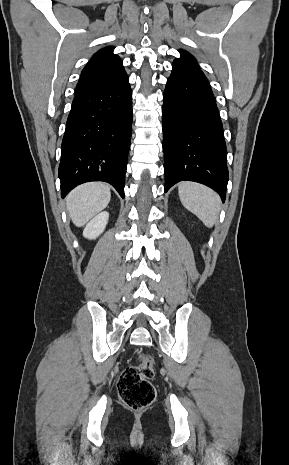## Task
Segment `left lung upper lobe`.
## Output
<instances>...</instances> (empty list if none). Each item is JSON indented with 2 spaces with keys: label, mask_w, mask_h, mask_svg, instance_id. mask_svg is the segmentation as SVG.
I'll return each instance as SVG.
<instances>
[{
  "label": "left lung upper lobe",
  "mask_w": 289,
  "mask_h": 465,
  "mask_svg": "<svg viewBox=\"0 0 289 465\" xmlns=\"http://www.w3.org/2000/svg\"><path fill=\"white\" fill-rule=\"evenodd\" d=\"M180 58L174 60L172 66L186 69H197L200 70L196 59L186 51L180 50Z\"/></svg>",
  "instance_id": "obj_1"
}]
</instances>
